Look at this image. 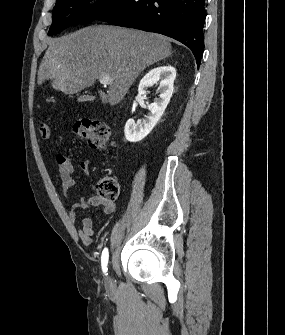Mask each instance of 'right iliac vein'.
<instances>
[{"label":"right iliac vein","instance_id":"right-iliac-vein-1","mask_svg":"<svg viewBox=\"0 0 285 335\" xmlns=\"http://www.w3.org/2000/svg\"><path fill=\"white\" fill-rule=\"evenodd\" d=\"M111 279L109 277L106 278V285H110Z\"/></svg>","mask_w":285,"mask_h":335}]
</instances>
